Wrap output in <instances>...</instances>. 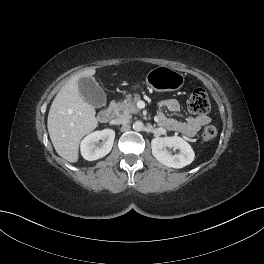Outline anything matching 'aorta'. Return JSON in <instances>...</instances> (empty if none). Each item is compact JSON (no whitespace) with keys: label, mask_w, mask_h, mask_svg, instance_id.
<instances>
[{"label":"aorta","mask_w":264,"mask_h":264,"mask_svg":"<svg viewBox=\"0 0 264 264\" xmlns=\"http://www.w3.org/2000/svg\"><path fill=\"white\" fill-rule=\"evenodd\" d=\"M144 128V124L141 121H135L133 124V129L135 131H142Z\"/></svg>","instance_id":"aorta-1"}]
</instances>
